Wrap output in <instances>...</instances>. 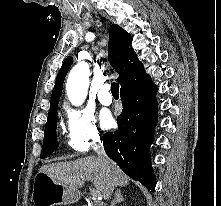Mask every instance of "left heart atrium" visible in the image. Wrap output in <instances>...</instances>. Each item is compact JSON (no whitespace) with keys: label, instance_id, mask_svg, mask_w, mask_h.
Instances as JSON below:
<instances>
[{"label":"left heart atrium","instance_id":"obj_1","mask_svg":"<svg viewBox=\"0 0 221 206\" xmlns=\"http://www.w3.org/2000/svg\"><path fill=\"white\" fill-rule=\"evenodd\" d=\"M100 122L103 128H110L113 125V118L111 113L107 110L101 111Z\"/></svg>","mask_w":221,"mask_h":206}]
</instances>
